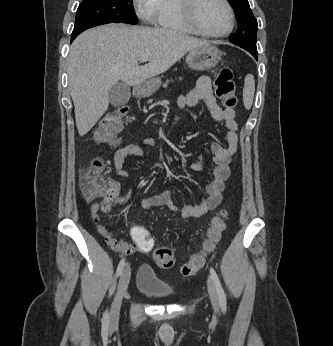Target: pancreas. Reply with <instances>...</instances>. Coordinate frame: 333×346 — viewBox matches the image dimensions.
Instances as JSON below:
<instances>
[{"label":"pancreas","mask_w":333,"mask_h":346,"mask_svg":"<svg viewBox=\"0 0 333 346\" xmlns=\"http://www.w3.org/2000/svg\"><path fill=\"white\" fill-rule=\"evenodd\" d=\"M181 79V78H180ZM169 81H167L166 83L163 84V87H167Z\"/></svg>","instance_id":"cf45deb5"}]
</instances>
